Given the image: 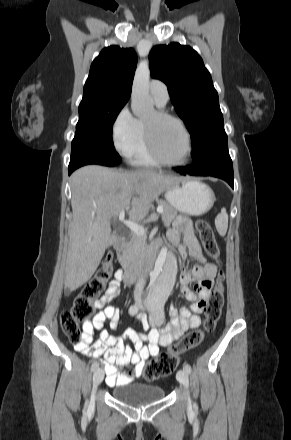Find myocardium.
Instances as JSON below:
<instances>
[{
  "label": "myocardium",
  "mask_w": 291,
  "mask_h": 440,
  "mask_svg": "<svg viewBox=\"0 0 291 440\" xmlns=\"http://www.w3.org/2000/svg\"><path fill=\"white\" fill-rule=\"evenodd\" d=\"M155 114L157 116V118L161 119V120H172L174 122H176L182 129V131L185 134L186 137V143H187V153L185 158L180 161V162H170L165 160L160 152L158 151L156 144L154 142V138H153V131L152 128L143 121V127H144V134H145V140H146V144L148 147V150L151 154V156L161 165L163 166H167V167H182L184 165H186L191 156H192V152H193V145H192V137H191V133L188 130L186 124L184 123V121L179 118L176 115L170 114L164 110H156Z\"/></svg>",
  "instance_id": "1"
}]
</instances>
